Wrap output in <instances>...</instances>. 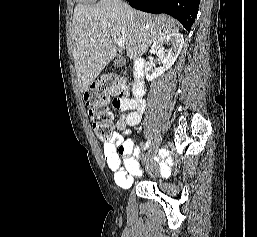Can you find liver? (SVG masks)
<instances>
[{
    "label": "liver",
    "mask_w": 257,
    "mask_h": 237,
    "mask_svg": "<svg viewBox=\"0 0 257 237\" xmlns=\"http://www.w3.org/2000/svg\"><path fill=\"white\" fill-rule=\"evenodd\" d=\"M178 31L173 18L134 10L121 0L77 4L72 21V42L80 91H87L116 56L114 39L125 41L127 56L134 60L159 38Z\"/></svg>",
    "instance_id": "6515ba94"
}]
</instances>
